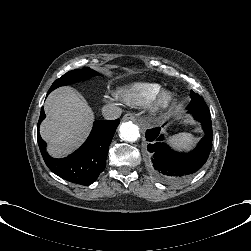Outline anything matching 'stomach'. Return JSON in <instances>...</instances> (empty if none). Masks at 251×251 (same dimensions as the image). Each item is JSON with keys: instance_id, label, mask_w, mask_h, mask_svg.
I'll list each match as a JSON object with an SVG mask.
<instances>
[{"instance_id": "1", "label": "stomach", "mask_w": 251, "mask_h": 251, "mask_svg": "<svg viewBox=\"0 0 251 251\" xmlns=\"http://www.w3.org/2000/svg\"><path fill=\"white\" fill-rule=\"evenodd\" d=\"M169 118H170V115H166V116L162 117L161 125H163L165 123V121H167Z\"/></svg>"}]
</instances>
